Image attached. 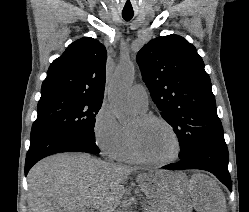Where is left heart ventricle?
I'll use <instances>...</instances> for the list:
<instances>
[{
  "instance_id": "left-heart-ventricle-1",
  "label": "left heart ventricle",
  "mask_w": 249,
  "mask_h": 212,
  "mask_svg": "<svg viewBox=\"0 0 249 212\" xmlns=\"http://www.w3.org/2000/svg\"><path fill=\"white\" fill-rule=\"evenodd\" d=\"M131 136L138 152L156 162L175 157L177 142L171 132L159 123H143L139 118L130 126Z\"/></svg>"
}]
</instances>
